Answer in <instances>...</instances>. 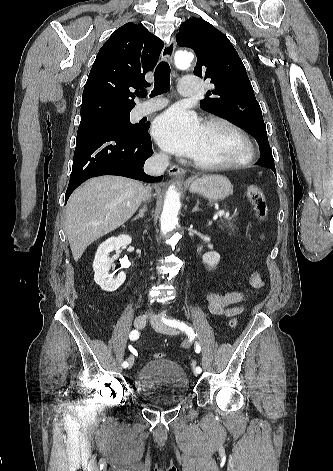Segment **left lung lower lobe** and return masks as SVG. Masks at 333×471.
<instances>
[{"mask_svg": "<svg viewBox=\"0 0 333 471\" xmlns=\"http://www.w3.org/2000/svg\"><path fill=\"white\" fill-rule=\"evenodd\" d=\"M256 165H263V166H266L270 169H272L274 171V173L276 174V169H275V165H274V161L273 160H263V159H259L256 163Z\"/></svg>", "mask_w": 333, "mask_h": 471, "instance_id": "1", "label": "left lung lower lobe"}]
</instances>
